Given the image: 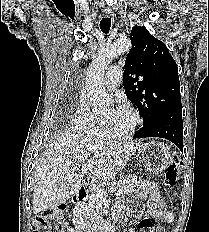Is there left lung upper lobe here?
Instances as JSON below:
<instances>
[{
    "label": "left lung upper lobe",
    "mask_w": 209,
    "mask_h": 232,
    "mask_svg": "<svg viewBox=\"0 0 209 232\" xmlns=\"http://www.w3.org/2000/svg\"><path fill=\"white\" fill-rule=\"evenodd\" d=\"M132 48L126 57L123 85L128 99L143 116V127L182 110L177 64L166 45L143 26L130 33Z\"/></svg>",
    "instance_id": "obj_1"
}]
</instances>
